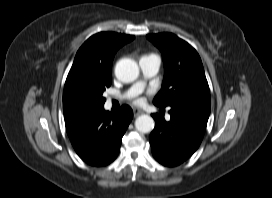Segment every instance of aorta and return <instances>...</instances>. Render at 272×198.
<instances>
[{"label":"aorta","instance_id":"1","mask_svg":"<svg viewBox=\"0 0 272 198\" xmlns=\"http://www.w3.org/2000/svg\"><path fill=\"white\" fill-rule=\"evenodd\" d=\"M139 69L136 62L129 58L121 59L115 66V76L124 83L137 79ZM135 127L141 133H149L154 128V120L149 115H141L135 120Z\"/></svg>","mask_w":272,"mask_h":198}]
</instances>
